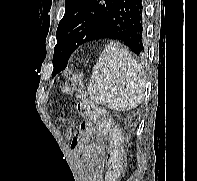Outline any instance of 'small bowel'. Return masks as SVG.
<instances>
[{"label": "small bowel", "mask_w": 197, "mask_h": 181, "mask_svg": "<svg viewBox=\"0 0 197 181\" xmlns=\"http://www.w3.org/2000/svg\"><path fill=\"white\" fill-rule=\"evenodd\" d=\"M100 135L91 123L84 122L72 140L73 149L85 164L83 176L87 181H101Z\"/></svg>", "instance_id": "c3829d8e"}]
</instances>
